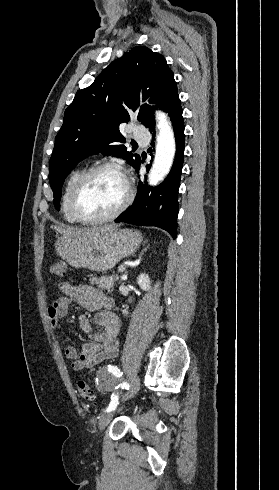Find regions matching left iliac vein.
Listing matches in <instances>:
<instances>
[{
	"instance_id": "left-iliac-vein-1",
	"label": "left iliac vein",
	"mask_w": 279,
	"mask_h": 490,
	"mask_svg": "<svg viewBox=\"0 0 279 490\" xmlns=\"http://www.w3.org/2000/svg\"><path fill=\"white\" fill-rule=\"evenodd\" d=\"M131 383L133 385H132L131 389L123 395L122 400H121L122 403H125L127 400L132 398L139 390V385H140L139 377H137V376L134 377L131 380ZM114 413H115V411H112V412L110 411V412H107L101 416V418L98 421L99 431L104 430L108 426V424L113 419Z\"/></svg>"
}]
</instances>
